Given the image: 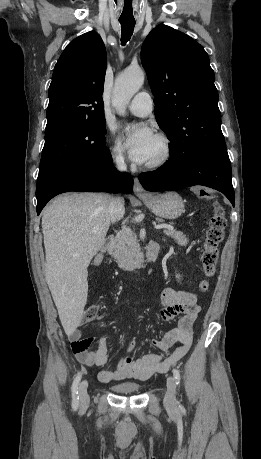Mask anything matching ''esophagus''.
<instances>
[{"instance_id": "obj_1", "label": "esophagus", "mask_w": 261, "mask_h": 459, "mask_svg": "<svg viewBox=\"0 0 261 459\" xmlns=\"http://www.w3.org/2000/svg\"><path fill=\"white\" fill-rule=\"evenodd\" d=\"M134 193L138 197H146L148 194L137 178L134 179Z\"/></svg>"}]
</instances>
